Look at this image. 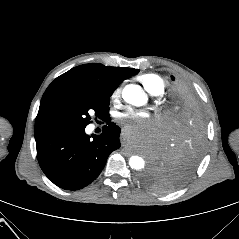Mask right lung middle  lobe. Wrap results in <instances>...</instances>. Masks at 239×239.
Listing matches in <instances>:
<instances>
[{
	"label": "right lung middle lobe",
	"instance_id": "obj_1",
	"mask_svg": "<svg viewBox=\"0 0 239 239\" xmlns=\"http://www.w3.org/2000/svg\"><path fill=\"white\" fill-rule=\"evenodd\" d=\"M110 96L88 93L56 99L39 109L35 130L86 127L91 114L101 117L109 112Z\"/></svg>",
	"mask_w": 239,
	"mask_h": 239
}]
</instances>
